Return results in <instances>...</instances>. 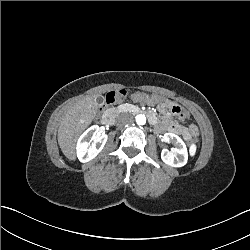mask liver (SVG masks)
Segmentation results:
<instances>
[{
  "instance_id": "liver-1",
  "label": "liver",
  "mask_w": 250,
  "mask_h": 250,
  "mask_svg": "<svg viewBox=\"0 0 250 250\" xmlns=\"http://www.w3.org/2000/svg\"><path fill=\"white\" fill-rule=\"evenodd\" d=\"M97 102L94 97L77 101L64 115L58 129V143L64 155L75 159V144L78 135L96 116Z\"/></svg>"
}]
</instances>
